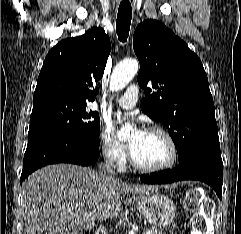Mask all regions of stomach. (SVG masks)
I'll return each mask as SVG.
<instances>
[{
  "label": "stomach",
  "mask_w": 241,
  "mask_h": 234,
  "mask_svg": "<svg viewBox=\"0 0 241 234\" xmlns=\"http://www.w3.org/2000/svg\"><path fill=\"white\" fill-rule=\"evenodd\" d=\"M139 211L155 228L167 227L174 222L176 206L173 201L153 191L135 197Z\"/></svg>",
  "instance_id": "0dacf381"
}]
</instances>
